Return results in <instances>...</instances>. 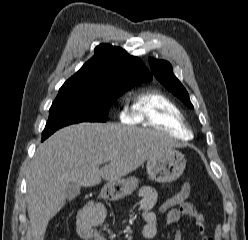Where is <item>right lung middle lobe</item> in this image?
Segmentation results:
<instances>
[{
  "label": "right lung middle lobe",
  "mask_w": 248,
  "mask_h": 240,
  "mask_svg": "<svg viewBox=\"0 0 248 240\" xmlns=\"http://www.w3.org/2000/svg\"><path fill=\"white\" fill-rule=\"evenodd\" d=\"M139 81L126 82L106 89H60L49 110L42 133L46 139L56 130L79 122H106L111 104Z\"/></svg>",
  "instance_id": "1"
}]
</instances>
